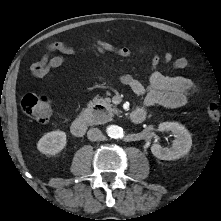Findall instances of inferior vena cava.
<instances>
[{
	"label": "inferior vena cava",
	"instance_id": "inferior-vena-cava-1",
	"mask_svg": "<svg viewBox=\"0 0 221 221\" xmlns=\"http://www.w3.org/2000/svg\"><path fill=\"white\" fill-rule=\"evenodd\" d=\"M87 137L90 141H98L102 139L103 134L98 128H91L87 132Z\"/></svg>",
	"mask_w": 221,
	"mask_h": 221
}]
</instances>
